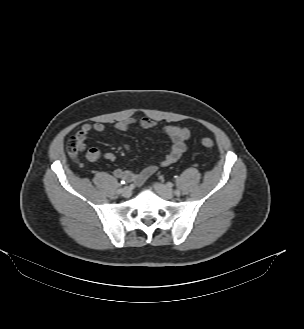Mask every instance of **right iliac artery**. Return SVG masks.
Masks as SVG:
<instances>
[{"label": "right iliac artery", "mask_w": 304, "mask_h": 329, "mask_svg": "<svg viewBox=\"0 0 304 329\" xmlns=\"http://www.w3.org/2000/svg\"><path fill=\"white\" fill-rule=\"evenodd\" d=\"M121 192H122V188H119V189L117 190V193H118V194H121Z\"/></svg>", "instance_id": "1"}]
</instances>
